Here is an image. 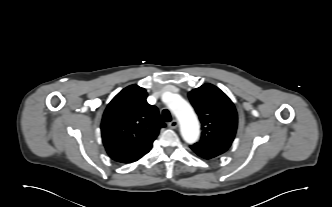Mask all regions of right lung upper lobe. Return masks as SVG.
Masks as SVG:
<instances>
[{
	"instance_id": "1",
	"label": "right lung upper lobe",
	"mask_w": 332,
	"mask_h": 207,
	"mask_svg": "<svg viewBox=\"0 0 332 207\" xmlns=\"http://www.w3.org/2000/svg\"><path fill=\"white\" fill-rule=\"evenodd\" d=\"M147 92L130 85L108 104L102 118L101 133L109 156L121 163H131L147 154L159 130L166 124L158 109L146 101Z\"/></svg>"
}]
</instances>
